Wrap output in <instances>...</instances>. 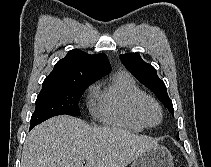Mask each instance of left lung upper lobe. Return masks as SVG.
<instances>
[{
    "label": "left lung upper lobe",
    "instance_id": "obj_1",
    "mask_svg": "<svg viewBox=\"0 0 211 167\" xmlns=\"http://www.w3.org/2000/svg\"><path fill=\"white\" fill-rule=\"evenodd\" d=\"M126 68L144 84L152 90L165 107L174 113L172 101L170 100L164 82L158 77L156 69L150 64L144 62L138 53H127L120 55ZM179 139V137H177Z\"/></svg>",
    "mask_w": 211,
    "mask_h": 167
}]
</instances>
